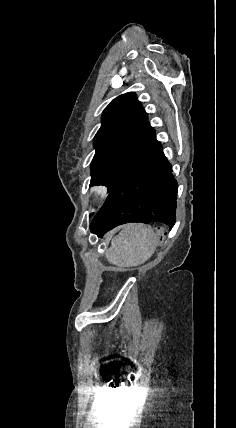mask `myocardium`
<instances>
[{
  "label": "myocardium",
  "mask_w": 236,
  "mask_h": 428,
  "mask_svg": "<svg viewBox=\"0 0 236 428\" xmlns=\"http://www.w3.org/2000/svg\"><path fill=\"white\" fill-rule=\"evenodd\" d=\"M106 197V193L103 191L93 190L90 195L91 202L96 204L101 202Z\"/></svg>",
  "instance_id": "f54148a6"
}]
</instances>
